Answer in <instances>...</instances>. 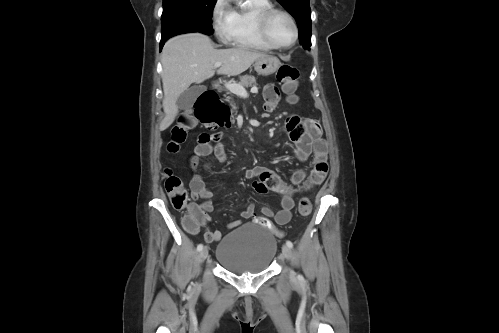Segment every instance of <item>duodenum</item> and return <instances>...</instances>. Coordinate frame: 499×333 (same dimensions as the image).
Wrapping results in <instances>:
<instances>
[{
    "label": "duodenum",
    "instance_id": "duodenum-1",
    "mask_svg": "<svg viewBox=\"0 0 499 333\" xmlns=\"http://www.w3.org/2000/svg\"><path fill=\"white\" fill-rule=\"evenodd\" d=\"M209 91H214V87ZM196 114L199 118H212L217 114L216 108L213 104L207 103V92L202 94L197 100Z\"/></svg>",
    "mask_w": 499,
    "mask_h": 333
}]
</instances>
